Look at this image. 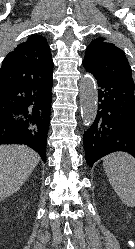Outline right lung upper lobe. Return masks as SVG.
I'll use <instances>...</instances> for the list:
<instances>
[{"label": "right lung upper lobe", "instance_id": "obj_1", "mask_svg": "<svg viewBox=\"0 0 135 249\" xmlns=\"http://www.w3.org/2000/svg\"><path fill=\"white\" fill-rule=\"evenodd\" d=\"M50 47L42 35H31L9 52L0 69V87L52 78Z\"/></svg>", "mask_w": 135, "mask_h": 249}]
</instances>
